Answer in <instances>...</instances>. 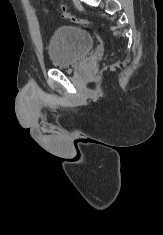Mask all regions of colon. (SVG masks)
Here are the masks:
<instances>
[{"instance_id": "colon-1", "label": "colon", "mask_w": 163, "mask_h": 235, "mask_svg": "<svg viewBox=\"0 0 163 235\" xmlns=\"http://www.w3.org/2000/svg\"><path fill=\"white\" fill-rule=\"evenodd\" d=\"M60 13H61L62 17H64L65 19H68L70 21H73L76 23H88L87 20L76 16L75 14H73L72 12L68 11L65 8H60Z\"/></svg>"}]
</instances>
